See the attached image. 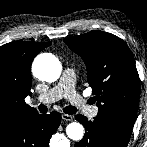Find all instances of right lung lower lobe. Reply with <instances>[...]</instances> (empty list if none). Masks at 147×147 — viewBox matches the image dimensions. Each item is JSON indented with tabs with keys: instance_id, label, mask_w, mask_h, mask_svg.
I'll list each match as a JSON object with an SVG mask.
<instances>
[{
	"instance_id": "1",
	"label": "right lung lower lobe",
	"mask_w": 147,
	"mask_h": 147,
	"mask_svg": "<svg viewBox=\"0 0 147 147\" xmlns=\"http://www.w3.org/2000/svg\"><path fill=\"white\" fill-rule=\"evenodd\" d=\"M60 122L58 112L31 115L0 135V147H48Z\"/></svg>"
}]
</instances>
